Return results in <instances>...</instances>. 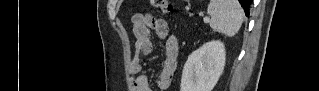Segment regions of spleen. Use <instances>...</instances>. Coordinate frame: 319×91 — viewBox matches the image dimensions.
<instances>
[{
  "instance_id": "1",
  "label": "spleen",
  "mask_w": 319,
  "mask_h": 91,
  "mask_svg": "<svg viewBox=\"0 0 319 91\" xmlns=\"http://www.w3.org/2000/svg\"><path fill=\"white\" fill-rule=\"evenodd\" d=\"M207 13L213 31L235 36L243 23V9L237 0H211Z\"/></svg>"
}]
</instances>
